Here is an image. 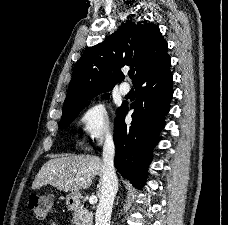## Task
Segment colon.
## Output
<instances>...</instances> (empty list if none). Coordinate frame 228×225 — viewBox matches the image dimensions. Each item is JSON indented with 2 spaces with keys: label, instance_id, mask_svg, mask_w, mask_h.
I'll use <instances>...</instances> for the list:
<instances>
[{
  "label": "colon",
  "instance_id": "colon-1",
  "mask_svg": "<svg viewBox=\"0 0 228 225\" xmlns=\"http://www.w3.org/2000/svg\"><path fill=\"white\" fill-rule=\"evenodd\" d=\"M28 205L31 213L38 219L48 217L50 208L53 207L50 197L43 194H32L28 197Z\"/></svg>",
  "mask_w": 228,
  "mask_h": 225
}]
</instances>
